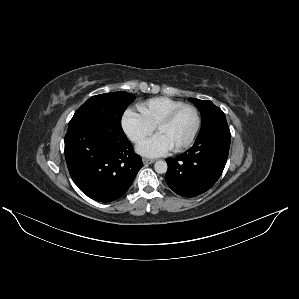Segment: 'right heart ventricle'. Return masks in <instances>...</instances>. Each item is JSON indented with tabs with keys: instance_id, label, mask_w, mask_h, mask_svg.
Returning <instances> with one entry per match:
<instances>
[{
	"instance_id": "right-heart-ventricle-1",
	"label": "right heart ventricle",
	"mask_w": 299,
	"mask_h": 299,
	"mask_svg": "<svg viewBox=\"0 0 299 299\" xmlns=\"http://www.w3.org/2000/svg\"><path fill=\"white\" fill-rule=\"evenodd\" d=\"M184 105L183 102L167 97H155L141 102L137 109L141 116L153 127L172 110Z\"/></svg>"
}]
</instances>
